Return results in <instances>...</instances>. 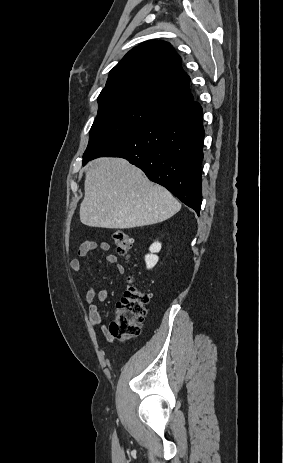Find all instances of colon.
I'll list each match as a JSON object with an SVG mask.
<instances>
[{"instance_id":"5ec220e1","label":"colon","mask_w":283,"mask_h":463,"mask_svg":"<svg viewBox=\"0 0 283 463\" xmlns=\"http://www.w3.org/2000/svg\"><path fill=\"white\" fill-rule=\"evenodd\" d=\"M112 241L120 255L124 257L132 255L133 241L126 232L114 230ZM149 297L146 290L133 284L127 286L110 324L109 331L114 338L119 341H127L139 334L140 326L146 315Z\"/></svg>"}]
</instances>
